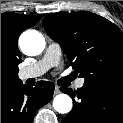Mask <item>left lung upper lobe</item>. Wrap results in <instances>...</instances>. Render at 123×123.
<instances>
[{
  "mask_svg": "<svg viewBox=\"0 0 123 123\" xmlns=\"http://www.w3.org/2000/svg\"><path fill=\"white\" fill-rule=\"evenodd\" d=\"M43 26L85 84L123 90V32L116 25L80 11L50 14L43 19Z\"/></svg>",
  "mask_w": 123,
  "mask_h": 123,
  "instance_id": "obj_1",
  "label": "left lung upper lobe"
}]
</instances>
